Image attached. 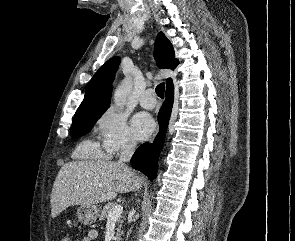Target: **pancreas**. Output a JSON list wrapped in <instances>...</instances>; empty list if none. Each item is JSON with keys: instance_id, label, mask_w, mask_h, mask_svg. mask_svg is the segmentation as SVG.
I'll return each mask as SVG.
<instances>
[{"instance_id": "1", "label": "pancreas", "mask_w": 295, "mask_h": 241, "mask_svg": "<svg viewBox=\"0 0 295 241\" xmlns=\"http://www.w3.org/2000/svg\"><path fill=\"white\" fill-rule=\"evenodd\" d=\"M114 206H116V203L106 204L99 215V219L100 220L108 219V214ZM118 223H120V225H118V228L116 229L117 230L116 237H115L116 240H119L120 235L122 234L121 227H122L123 220L118 219Z\"/></svg>"}]
</instances>
